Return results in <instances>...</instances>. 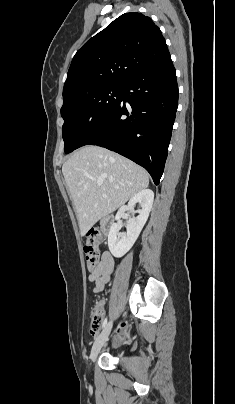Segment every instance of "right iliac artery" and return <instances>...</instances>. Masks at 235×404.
<instances>
[{"label": "right iliac artery", "instance_id": "obj_1", "mask_svg": "<svg viewBox=\"0 0 235 404\" xmlns=\"http://www.w3.org/2000/svg\"><path fill=\"white\" fill-rule=\"evenodd\" d=\"M106 325H107V318L105 319V321H104V323L102 325V328H105Z\"/></svg>", "mask_w": 235, "mask_h": 404}]
</instances>
